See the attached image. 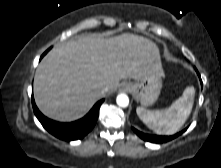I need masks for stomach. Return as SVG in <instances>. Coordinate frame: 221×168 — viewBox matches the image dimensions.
Segmentation results:
<instances>
[{
  "label": "stomach",
  "mask_w": 221,
  "mask_h": 168,
  "mask_svg": "<svg viewBox=\"0 0 221 168\" xmlns=\"http://www.w3.org/2000/svg\"><path fill=\"white\" fill-rule=\"evenodd\" d=\"M163 77V70L157 69L150 72L146 77L136 82H129L127 85L135 99L140 101L143 106H148L158 99Z\"/></svg>",
  "instance_id": "1"
}]
</instances>
